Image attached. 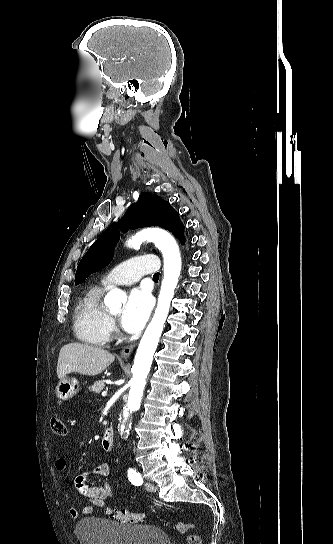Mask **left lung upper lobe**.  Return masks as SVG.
I'll return each mask as SVG.
<instances>
[{
  "label": "left lung upper lobe",
  "mask_w": 333,
  "mask_h": 544,
  "mask_svg": "<svg viewBox=\"0 0 333 544\" xmlns=\"http://www.w3.org/2000/svg\"><path fill=\"white\" fill-rule=\"evenodd\" d=\"M146 226H159L172 232L182 244L185 243L184 225L179 219V214L170 206L169 202L161 197L142 193L137 203L132 204L124 217L117 223H113L89 248L80 261L75 284H80L91 273L107 266L113 257V250L119 240V228L126 231L129 227L136 229Z\"/></svg>",
  "instance_id": "1"
}]
</instances>
